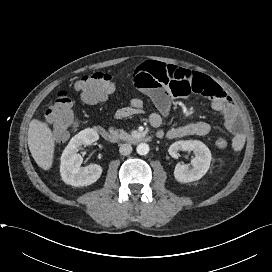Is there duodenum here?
<instances>
[{"label": "duodenum", "mask_w": 272, "mask_h": 272, "mask_svg": "<svg viewBox=\"0 0 272 272\" xmlns=\"http://www.w3.org/2000/svg\"><path fill=\"white\" fill-rule=\"evenodd\" d=\"M94 130L106 141L111 142V143H115L120 141V137L113 133L112 131L101 127V126H97L94 127ZM151 140L150 136L147 135H137V136H130V137H126L124 139V141L128 142V143H132V144H139V143H144V142H149Z\"/></svg>", "instance_id": "duodenum-1"}]
</instances>
